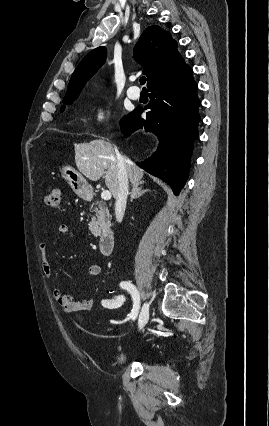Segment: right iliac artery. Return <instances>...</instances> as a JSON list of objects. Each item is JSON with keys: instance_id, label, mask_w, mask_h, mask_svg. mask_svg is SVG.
Segmentation results:
<instances>
[{"instance_id": "1", "label": "right iliac artery", "mask_w": 269, "mask_h": 426, "mask_svg": "<svg viewBox=\"0 0 269 426\" xmlns=\"http://www.w3.org/2000/svg\"><path fill=\"white\" fill-rule=\"evenodd\" d=\"M121 286L131 294V297L133 299V309L131 310L130 318L132 320H135L137 315H138L139 308H140L139 292H138L137 288L133 284H131L130 282H122Z\"/></svg>"}]
</instances>
